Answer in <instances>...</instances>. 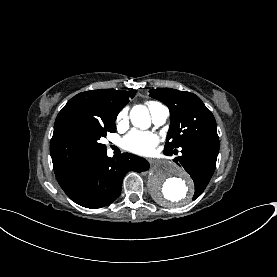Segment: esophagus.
Returning <instances> with one entry per match:
<instances>
[{"instance_id":"esophagus-1","label":"esophagus","mask_w":277,"mask_h":277,"mask_svg":"<svg viewBox=\"0 0 277 277\" xmlns=\"http://www.w3.org/2000/svg\"><path fill=\"white\" fill-rule=\"evenodd\" d=\"M149 161H150V162H153V160H152V159H150Z\"/></svg>"}]
</instances>
